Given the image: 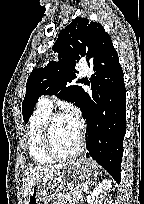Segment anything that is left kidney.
Masks as SVG:
<instances>
[{
    "mask_svg": "<svg viewBox=\"0 0 144 204\" xmlns=\"http://www.w3.org/2000/svg\"><path fill=\"white\" fill-rule=\"evenodd\" d=\"M112 182L108 179L103 180L99 183L92 192L87 197L88 204H103L101 201H98L103 195L108 193V199L105 200L104 204H113L112 202Z\"/></svg>",
    "mask_w": 144,
    "mask_h": 204,
    "instance_id": "5707ae66",
    "label": "left kidney"
}]
</instances>
